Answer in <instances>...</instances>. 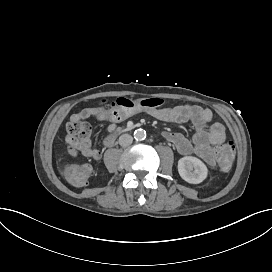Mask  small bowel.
Segmentation results:
<instances>
[{
  "mask_svg": "<svg viewBox=\"0 0 272 272\" xmlns=\"http://www.w3.org/2000/svg\"><path fill=\"white\" fill-rule=\"evenodd\" d=\"M93 118L106 119L108 107L105 105L91 107ZM152 117L172 124L191 123L195 132L193 140H189L179 132H164V138L175 150L183 155L192 154L200 157L209 166L216 164L215 147L225 139V127L219 122H212L213 113L209 108L194 104H183L173 107H161L146 110ZM135 113V112H134ZM132 113V114H134ZM131 114V115H132ZM87 130H89L87 128ZM90 131V130H89ZM83 156L92 160H100L102 153L93 146L88 151L78 150Z\"/></svg>",
  "mask_w": 272,
  "mask_h": 272,
  "instance_id": "1",
  "label": "small bowel"
}]
</instances>
